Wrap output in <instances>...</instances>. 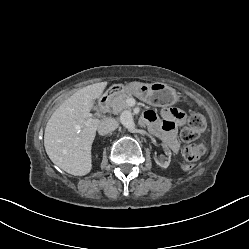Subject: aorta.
Wrapping results in <instances>:
<instances>
[{"label":"aorta","mask_w":249,"mask_h":249,"mask_svg":"<svg viewBox=\"0 0 249 249\" xmlns=\"http://www.w3.org/2000/svg\"><path fill=\"white\" fill-rule=\"evenodd\" d=\"M121 123L128 129L133 130L135 128L132 114L129 111H125L120 117Z\"/></svg>","instance_id":"aorta-1"}]
</instances>
